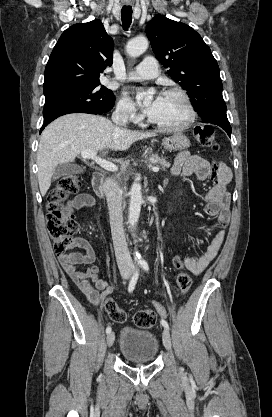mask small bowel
<instances>
[{
  "instance_id": "1",
  "label": "small bowel",
  "mask_w": 272,
  "mask_h": 417,
  "mask_svg": "<svg viewBox=\"0 0 272 417\" xmlns=\"http://www.w3.org/2000/svg\"><path fill=\"white\" fill-rule=\"evenodd\" d=\"M171 173L184 177L195 176L199 181H205L211 175V166L206 159L199 155L180 152L171 167ZM215 176L214 185L204 194L203 200L205 201L206 214L217 218L220 229L201 255L189 256L184 259V267L195 275L202 273L217 256L225 238V228L230 223V196L226 189L231 180V171L221 162ZM94 204V198L83 193L68 203L66 211L71 214L83 207H92ZM73 247L81 248L85 252L73 253L70 256L61 254L59 255L60 263L86 298L93 305L98 306L112 293L113 287L107 280L98 276L97 256L90 242L85 238L77 237L73 240ZM78 264L87 265V268L83 271L79 270L76 266Z\"/></svg>"
}]
</instances>
